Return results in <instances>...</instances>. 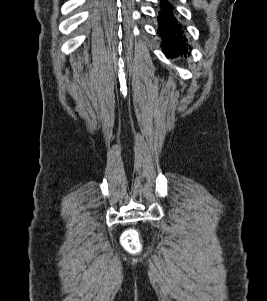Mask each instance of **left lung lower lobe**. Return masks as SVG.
Here are the masks:
<instances>
[{
  "label": "left lung lower lobe",
  "instance_id": "1",
  "mask_svg": "<svg viewBox=\"0 0 267 301\" xmlns=\"http://www.w3.org/2000/svg\"><path fill=\"white\" fill-rule=\"evenodd\" d=\"M160 3L161 11L158 16L160 24L158 34L163 40L164 54L167 58L188 54L189 46L187 38L182 30V26L173 15L171 4L167 0H160Z\"/></svg>",
  "mask_w": 267,
  "mask_h": 301
}]
</instances>
